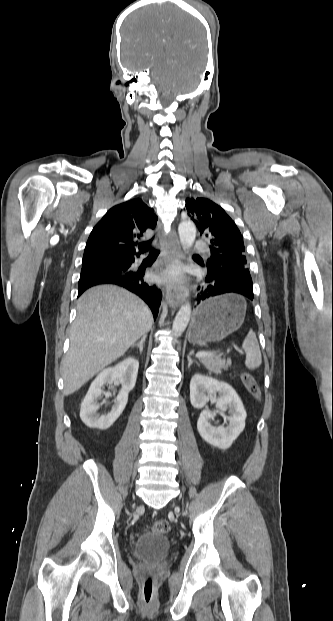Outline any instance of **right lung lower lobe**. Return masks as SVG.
Here are the masks:
<instances>
[{"label": "right lung lower lobe", "mask_w": 333, "mask_h": 621, "mask_svg": "<svg viewBox=\"0 0 333 621\" xmlns=\"http://www.w3.org/2000/svg\"><path fill=\"white\" fill-rule=\"evenodd\" d=\"M134 260V256H123L118 260L102 259L84 263L79 279L78 297L92 286L116 284L141 297L149 305L156 319L162 299L161 290L144 282L145 268H139L137 271L130 269Z\"/></svg>", "instance_id": "obj_1"}]
</instances>
